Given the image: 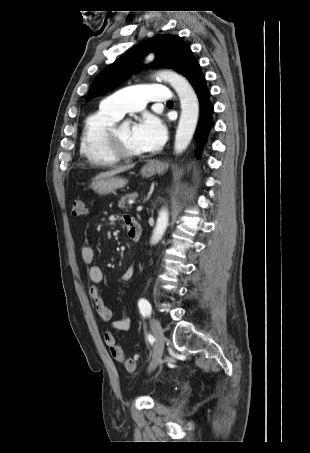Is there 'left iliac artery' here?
Segmentation results:
<instances>
[{
  "label": "left iliac artery",
  "mask_w": 310,
  "mask_h": 453,
  "mask_svg": "<svg viewBox=\"0 0 310 453\" xmlns=\"http://www.w3.org/2000/svg\"><path fill=\"white\" fill-rule=\"evenodd\" d=\"M139 309L144 316H149L151 314V305L146 299H140L138 302Z\"/></svg>",
  "instance_id": "obj_1"
}]
</instances>
